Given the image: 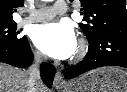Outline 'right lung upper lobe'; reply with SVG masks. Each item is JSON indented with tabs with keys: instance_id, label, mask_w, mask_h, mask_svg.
<instances>
[{
	"instance_id": "obj_1",
	"label": "right lung upper lobe",
	"mask_w": 127,
	"mask_h": 92,
	"mask_svg": "<svg viewBox=\"0 0 127 92\" xmlns=\"http://www.w3.org/2000/svg\"><path fill=\"white\" fill-rule=\"evenodd\" d=\"M23 4L24 0H0V24L13 23L12 13Z\"/></svg>"
}]
</instances>
